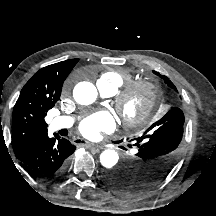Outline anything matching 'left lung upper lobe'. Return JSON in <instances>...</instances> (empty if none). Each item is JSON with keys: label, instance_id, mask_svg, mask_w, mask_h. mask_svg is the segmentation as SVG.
<instances>
[{"label": "left lung upper lobe", "instance_id": "obj_1", "mask_svg": "<svg viewBox=\"0 0 216 216\" xmlns=\"http://www.w3.org/2000/svg\"><path fill=\"white\" fill-rule=\"evenodd\" d=\"M161 77L169 88L177 91L166 76ZM184 121L182 110L172 106L142 136L133 139L136 141V154L126 160L124 172L110 179L108 184L118 193L131 196L145 192L162 181L180 156ZM120 169L118 167L111 172Z\"/></svg>", "mask_w": 216, "mask_h": 216}]
</instances>
